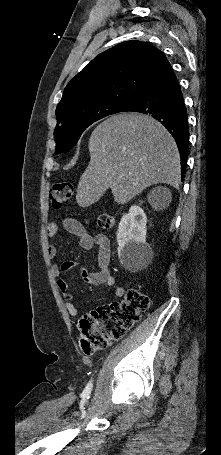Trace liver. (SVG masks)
<instances>
[{
	"label": "liver",
	"instance_id": "1",
	"mask_svg": "<svg viewBox=\"0 0 221 455\" xmlns=\"http://www.w3.org/2000/svg\"><path fill=\"white\" fill-rule=\"evenodd\" d=\"M88 147L90 162L76 191L81 207L97 202L109 188L115 202L122 205L153 184L179 187L177 145L166 128L150 116H111L94 129Z\"/></svg>",
	"mask_w": 221,
	"mask_h": 455
}]
</instances>
